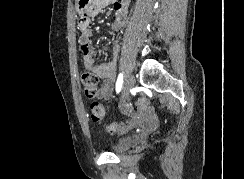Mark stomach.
Wrapping results in <instances>:
<instances>
[{
	"mask_svg": "<svg viewBox=\"0 0 244 179\" xmlns=\"http://www.w3.org/2000/svg\"><path fill=\"white\" fill-rule=\"evenodd\" d=\"M90 0H77L76 7L77 8H85L87 4H89ZM78 14H85V9H78Z\"/></svg>",
	"mask_w": 244,
	"mask_h": 179,
	"instance_id": "0dacf381",
	"label": "stomach"
}]
</instances>
